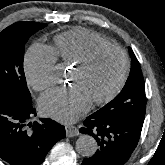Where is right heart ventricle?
I'll list each match as a JSON object with an SVG mask.
<instances>
[{
  "mask_svg": "<svg viewBox=\"0 0 165 165\" xmlns=\"http://www.w3.org/2000/svg\"><path fill=\"white\" fill-rule=\"evenodd\" d=\"M109 42L97 33L85 28H74L54 38L53 50L64 63L75 65L93 47Z\"/></svg>",
  "mask_w": 165,
  "mask_h": 165,
  "instance_id": "right-heart-ventricle-1",
  "label": "right heart ventricle"
}]
</instances>
